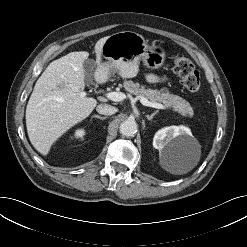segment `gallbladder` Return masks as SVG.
<instances>
[{"label": "gallbladder", "mask_w": 247, "mask_h": 247, "mask_svg": "<svg viewBox=\"0 0 247 247\" xmlns=\"http://www.w3.org/2000/svg\"><path fill=\"white\" fill-rule=\"evenodd\" d=\"M93 66H94L93 60L86 59V60L84 61V65H83L84 70H85V73L88 74L90 71H92Z\"/></svg>", "instance_id": "bac80fb5"}]
</instances>
